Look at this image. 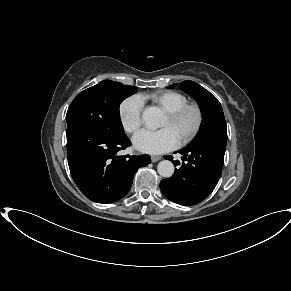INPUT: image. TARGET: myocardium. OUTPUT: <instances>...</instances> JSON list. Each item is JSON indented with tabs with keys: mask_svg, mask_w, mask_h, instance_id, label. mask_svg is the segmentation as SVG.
Wrapping results in <instances>:
<instances>
[{
	"mask_svg": "<svg viewBox=\"0 0 291 291\" xmlns=\"http://www.w3.org/2000/svg\"><path fill=\"white\" fill-rule=\"evenodd\" d=\"M188 112H193L195 114V125L191 132L179 141L180 146L189 144L200 133L204 121L203 110L199 104L194 102H187L174 110L166 112V116L169 118L171 122L179 120Z\"/></svg>",
	"mask_w": 291,
	"mask_h": 291,
	"instance_id": "1",
	"label": "myocardium"
}]
</instances>
